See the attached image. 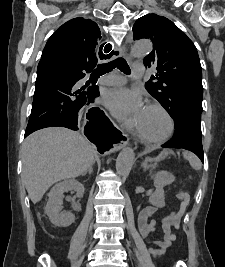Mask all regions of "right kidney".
Returning a JSON list of instances; mask_svg holds the SVG:
<instances>
[{"label":"right kidney","instance_id":"obj_1","mask_svg":"<svg viewBox=\"0 0 225 267\" xmlns=\"http://www.w3.org/2000/svg\"><path fill=\"white\" fill-rule=\"evenodd\" d=\"M68 191H75L77 197L81 198L84 195L85 188L79 181L69 179L53 186L48 194L45 211L51 223L56 226L67 227L75 220V216L71 212H61L63 193Z\"/></svg>","mask_w":225,"mask_h":267}]
</instances>
